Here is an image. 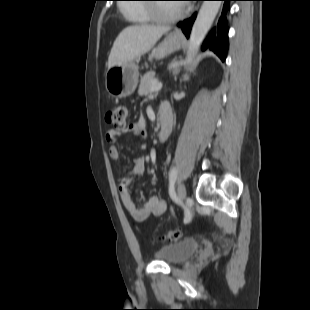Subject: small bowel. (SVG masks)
<instances>
[{"label":"small bowel","mask_w":310,"mask_h":310,"mask_svg":"<svg viewBox=\"0 0 310 310\" xmlns=\"http://www.w3.org/2000/svg\"><path fill=\"white\" fill-rule=\"evenodd\" d=\"M160 109L169 110L171 112L170 107L167 104H163ZM125 132H128L137 137L145 138L147 136V130L144 120L140 119L137 122L129 125L125 129ZM120 134V131L112 129L109 130L105 135L106 141L110 143L108 149L109 157L115 161L119 160L120 158V152L117 147V138ZM144 171V159L141 157L135 158L131 170L123 174L118 180V189L122 204L128 214L136 222H143L150 215L161 216L167 209L166 202L158 196H150L143 202L140 207L137 206L134 202L130 194V186L138 177L144 174Z\"/></svg>","instance_id":"c3829d8e"}]
</instances>
